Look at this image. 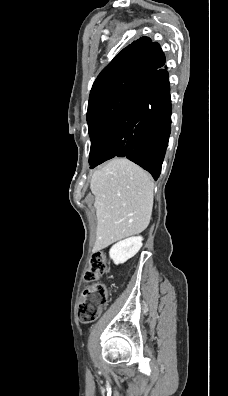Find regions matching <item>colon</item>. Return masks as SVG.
Instances as JSON below:
<instances>
[{
    "label": "colon",
    "instance_id": "1",
    "mask_svg": "<svg viewBox=\"0 0 228 396\" xmlns=\"http://www.w3.org/2000/svg\"><path fill=\"white\" fill-rule=\"evenodd\" d=\"M108 265L107 256L102 252H94L84 272V280L93 282L88 286L81 297L78 306V318L83 323L96 320L108 303V291L97 281L103 275Z\"/></svg>",
    "mask_w": 228,
    "mask_h": 396
}]
</instances>
